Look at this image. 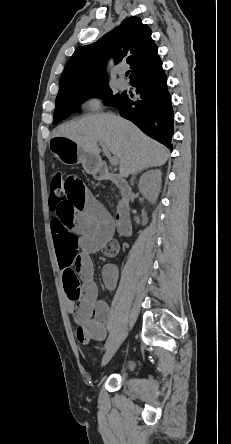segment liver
Returning a JSON list of instances; mask_svg holds the SVG:
<instances>
[{
    "label": "liver",
    "instance_id": "1",
    "mask_svg": "<svg viewBox=\"0 0 231 444\" xmlns=\"http://www.w3.org/2000/svg\"><path fill=\"white\" fill-rule=\"evenodd\" d=\"M54 136H64L76 142L84 151L99 157L98 142L116 156L121 176L165 164L169 150L149 138L134 124L110 113L89 115L58 126Z\"/></svg>",
    "mask_w": 231,
    "mask_h": 444
}]
</instances>
